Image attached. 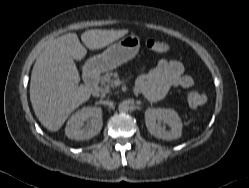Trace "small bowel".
Wrapping results in <instances>:
<instances>
[{
	"label": "small bowel",
	"instance_id": "1",
	"mask_svg": "<svg viewBox=\"0 0 249 188\" xmlns=\"http://www.w3.org/2000/svg\"><path fill=\"white\" fill-rule=\"evenodd\" d=\"M193 85V78L184 74L180 61L161 60L152 70L138 78L136 89L147 99L156 101L172 88H190Z\"/></svg>",
	"mask_w": 249,
	"mask_h": 188
}]
</instances>
